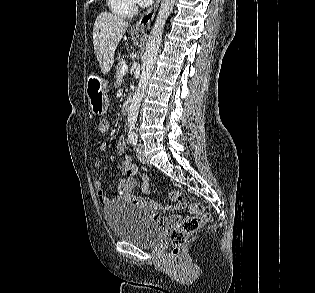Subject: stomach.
I'll return each mask as SVG.
<instances>
[{
	"label": "stomach",
	"instance_id": "0dacf381",
	"mask_svg": "<svg viewBox=\"0 0 315 293\" xmlns=\"http://www.w3.org/2000/svg\"><path fill=\"white\" fill-rule=\"evenodd\" d=\"M107 87L108 81L106 79L95 73L90 75L87 81L86 93L89 99V108L95 115H102L108 109Z\"/></svg>",
	"mask_w": 315,
	"mask_h": 293
}]
</instances>
